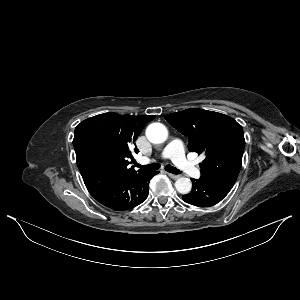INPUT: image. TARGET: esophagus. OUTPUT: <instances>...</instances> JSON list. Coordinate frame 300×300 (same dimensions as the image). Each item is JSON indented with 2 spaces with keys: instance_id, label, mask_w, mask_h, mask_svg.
<instances>
[{
  "instance_id": "1",
  "label": "esophagus",
  "mask_w": 300,
  "mask_h": 300,
  "mask_svg": "<svg viewBox=\"0 0 300 300\" xmlns=\"http://www.w3.org/2000/svg\"><path fill=\"white\" fill-rule=\"evenodd\" d=\"M169 177L176 180L180 177V175H176V174H172V173H168Z\"/></svg>"
}]
</instances>
